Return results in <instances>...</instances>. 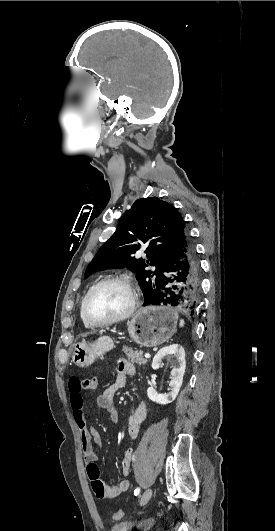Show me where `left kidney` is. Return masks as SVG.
<instances>
[{
  "instance_id": "obj_1",
  "label": "left kidney",
  "mask_w": 275,
  "mask_h": 531,
  "mask_svg": "<svg viewBox=\"0 0 275 531\" xmlns=\"http://www.w3.org/2000/svg\"><path fill=\"white\" fill-rule=\"evenodd\" d=\"M168 355H175V357H177V367H174L171 371V381L169 383L171 389L170 393L158 395L153 387H148L147 389V395L150 401L159 403V405H168V403H173V401H175L183 383L185 373V351L180 345H169V347H163V349H160L153 359L152 369H154V371L159 369L162 359L168 357Z\"/></svg>"
}]
</instances>
